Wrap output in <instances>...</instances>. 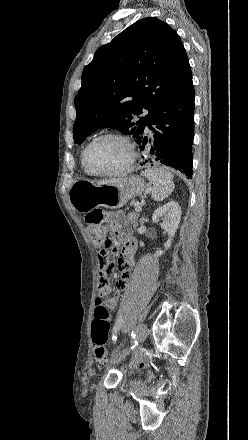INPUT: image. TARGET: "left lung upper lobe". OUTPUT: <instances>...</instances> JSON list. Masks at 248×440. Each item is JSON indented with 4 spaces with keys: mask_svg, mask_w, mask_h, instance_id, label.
Wrapping results in <instances>:
<instances>
[{
    "mask_svg": "<svg viewBox=\"0 0 248 440\" xmlns=\"http://www.w3.org/2000/svg\"><path fill=\"white\" fill-rule=\"evenodd\" d=\"M192 81L179 35L155 17L141 19L99 48L84 68L75 97V144L111 127L141 139L150 117L174 91ZM148 110L146 117L134 115Z\"/></svg>",
    "mask_w": 248,
    "mask_h": 440,
    "instance_id": "1",
    "label": "left lung upper lobe"
}]
</instances>
